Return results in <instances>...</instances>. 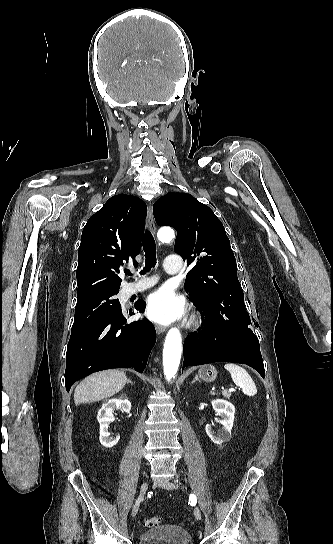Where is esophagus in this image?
<instances>
[{"label": "esophagus", "mask_w": 333, "mask_h": 544, "mask_svg": "<svg viewBox=\"0 0 333 544\" xmlns=\"http://www.w3.org/2000/svg\"><path fill=\"white\" fill-rule=\"evenodd\" d=\"M147 222H148V227H149L150 232L153 235H155L156 225H155V220H154L153 210H152L151 205L148 207ZM155 330H156L157 334H162V333L165 332L166 329H165V327H163L161 325H155Z\"/></svg>", "instance_id": "obj_1"}]
</instances>
